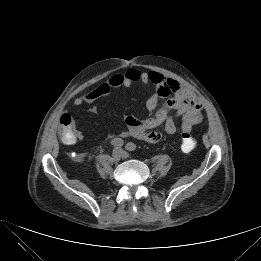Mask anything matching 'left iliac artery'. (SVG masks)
Listing matches in <instances>:
<instances>
[{"mask_svg": "<svg viewBox=\"0 0 261 261\" xmlns=\"http://www.w3.org/2000/svg\"><path fill=\"white\" fill-rule=\"evenodd\" d=\"M125 148L128 150V151H134L136 149V145L132 142H129L126 144Z\"/></svg>", "mask_w": 261, "mask_h": 261, "instance_id": "1", "label": "left iliac artery"}]
</instances>
